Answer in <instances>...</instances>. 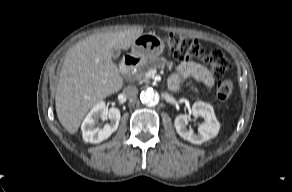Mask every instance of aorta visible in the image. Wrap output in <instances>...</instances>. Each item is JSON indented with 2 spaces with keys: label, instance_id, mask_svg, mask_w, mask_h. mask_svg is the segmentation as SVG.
<instances>
[{
  "label": "aorta",
  "instance_id": "762f6f07",
  "mask_svg": "<svg viewBox=\"0 0 292 192\" xmlns=\"http://www.w3.org/2000/svg\"><path fill=\"white\" fill-rule=\"evenodd\" d=\"M140 100L143 104L147 106H155L159 102V95L152 88H147L146 90H143L141 92Z\"/></svg>",
  "mask_w": 292,
  "mask_h": 192
}]
</instances>
